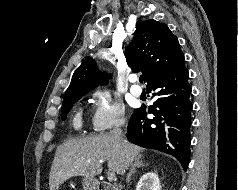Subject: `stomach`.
<instances>
[{
	"label": "stomach",
	"mask_w": 238,
	"mask_h": 190,
	"mask_svg": "<svg viewBox=\"0 0 238 190\" xmlns=\"http://www.w3.org/2000/svg\"><path fill=\"white\" fill-rule=\"evenodd\" d=\"M98 182L95 178L85 177L82 181L84 190H96Z\"/></svg>",
	"instance_id": "0dacf381"
}]
</instances>
